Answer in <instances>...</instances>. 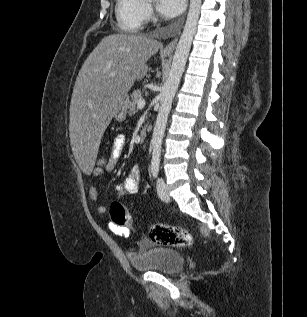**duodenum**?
<instances>
[{"mask_svg":"<svg viewBox=\"0 0 307 317\" xmlns=\"http://www.w3.org/2000/svg\"><path fill=\"white\" fill-rule=\"evenodd\" d=\"M145 138H146V129H142L139 133V139L141 142H143Z\"/></svg>","mask_w":307,"mask_h":317,"instance_id":"410a0bca","label":"duodenum"}]
</instances>
